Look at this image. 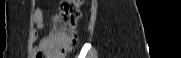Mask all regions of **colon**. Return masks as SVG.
I'll use <instances>...</instances> for the list:
<instances>
[{"label": "colon", "instance_id": "obj_1", "mask_svg": "<svg viewBox=\"0 0 181 58\" xmlns=\"http://www.w3.org/2000/svg\"><path fill=\"white\" fill-rule=\"evenodd\" d=\"M82 0H65L53 18V32L48 37V51L66 55L77 43V24L82 15ZM39 53L36 58H42Z\"/></svg>", "mask_w": 181, "mask_h": 58}]
</instances>
